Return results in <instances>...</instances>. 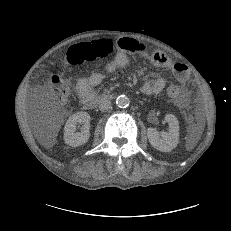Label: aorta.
<instances>
[{
  "mask_svg": "<svg viewBox=\"0 0 231 231\" xmlns=\"http://www.w3.org/2000/svg\"><path fill=\"white\" fill-rule=\"evenodd\" d=\"M130 100L126 95H120L116 99V104L120 108H126L129 106Z\"/></svg>",
  "mask_w": 231,
  "mask_h": 231,
  "instance_id": "762f6f07",
  "label": "aorta"
}]
</instances>
